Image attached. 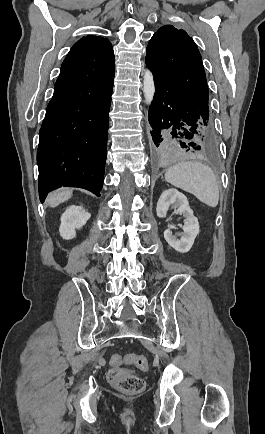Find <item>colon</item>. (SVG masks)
<instances>
[{"mask_svg":"<svg viewBox=\"0 0 265 434\" xmlns=\"http://www.w3.org/2000/svg\"><path fill=\"white\" fill-rule=\"evenodd\" d=\"M121 364L134 366L142 371H148L149 363L147 359L135 354L113 356L109 363L110 369L106 374L107 381L115 389L124 392L143 391L145 388L144 380L130 369L119 367Z\"/></svg>","mask_w":265,"mask_h":434,"instance_id":"1","label":"colon"}]
</instances>
